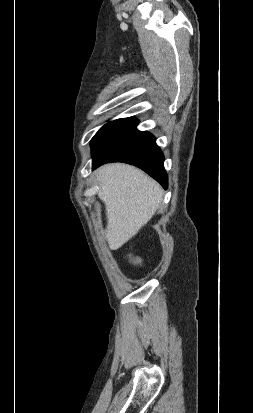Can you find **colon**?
Returning a JSON list of instances; mask_svg holds the SVG:
<instances>
[{"label": "colon", "instance_id": "5ec220e1", "mask_svg": "<svg viewBox=\"0 0 253 413\" xmlns=\"http://www.w3.org/2000/svg\"><path fill=\"white\" fill-rule=\"evenodd\" d=\"M132 261H133V263H134L135 265H139V264H140V261H139L138 259H136V258H133Z\"/></svg>", "mask_w": 253, "mask_h": 413}]
</instances>
